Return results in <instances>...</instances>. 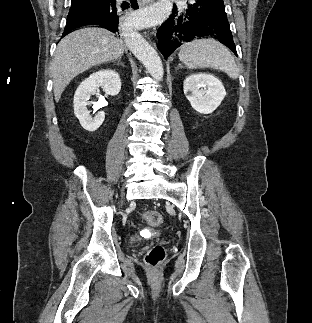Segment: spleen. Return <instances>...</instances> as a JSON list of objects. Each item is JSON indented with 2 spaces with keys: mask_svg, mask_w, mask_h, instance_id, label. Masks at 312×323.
Wrapping results in <instances>:
<instances>
[{
  "mask_svg": "<svg viewBox=\"0 0 312 323\" xmlns=\"http://www.w3.org/2000/svg\"><path fill=\"white\" fill-rule=\"evenodd\" d=\"M178 56L180 62H183L189 70L214 68V70L226 72L232 80H236L239 76V70L232 54L226 46L216 42L214 38L186 42L181 46Z\"/></svg>",
  "mask_w": 312,
  "mask_h": 323,
  "instance_id": "spleen-1",
  "label": "spleen"
}]
</instances>
